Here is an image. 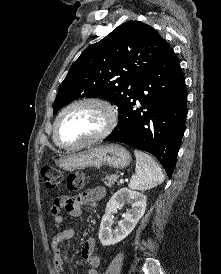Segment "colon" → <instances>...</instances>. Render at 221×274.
Instances as JSON below:
<instances>
[{"mask_svg":"<svg viewBox=\"0 0 221 274\" xmlns=\"http://www.w3.org/2000/svg\"><path fill=\"white\" fill-rule=\"evenodd\" d=\"M44 184L49 189L57 188L62 181V173L55 167H44L42 169ZM83 178L80 174H72L68 177L67 187L70 191H77L82 185Z\"/></svg>","mask_w":221,"mask_h":274,"instance_id":"obj_1","label":"colon"}]
</instances>
